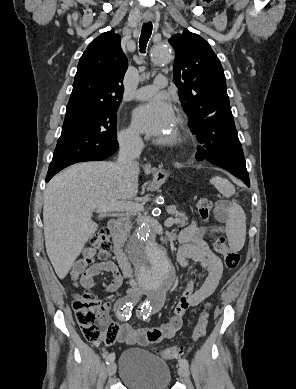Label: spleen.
<instances>
[{
	"label": "spleen",
	"instance_id": "3e777b00",
	"mask_svg": "<svg viewBox=\"0 0 296 389\" xmlns=\"http://www.w3.org/2000/svg\"><path fill=\"white\" fill-rule=\"evenodd\" d=\"M210 183L224 196L231 197L235 193V187L222 177H213ZM228 218L226 221V235L229 247L233 252L240 251L245 243L246 238V215L242 207L236 202L227 209Z\"/></svg>",
	"mask_w": 296,
	"mask_h": 389
}]
</instances>
